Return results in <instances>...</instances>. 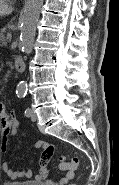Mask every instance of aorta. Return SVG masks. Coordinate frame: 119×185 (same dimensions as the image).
<instances>
[{
	"instance_id": "aorta-1",
	"label": "aorta",
	"mask_w": 119,
	"mask_h": 185,
	"mask_svg": "<svg viewBox=\"0 0 119 185\" xmlns=\"http://www.w3.org/2000/svg\"><path fill=\"white\" fill-rule=\"evenodd\" d=\"M43 0H26L23 16L21 18L20 27V41L22 51L26 55L32 52V45L34 42L36 25L40 15V9ZM27 91V84L25 81H20L17 85L16 92L18 95H24Z\"/></svg>"
}]
</instances>
